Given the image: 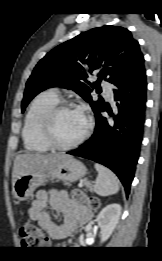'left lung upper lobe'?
<instances>
[{
	"instance_id": "1",
	"label": "left lung upper lobe",
	"mask_w": 162,
	"mask_h": 261,
	"mask_svg": "<svg viewBox=\"0 0 162 261\" xmlns=\"http://www.w3.org/2000/svg\"><path fill=\"white\" fill-rule=\"evenodd\" d=\"M143 60L138 42L126 28L105 25L83 32L39 61L26 83L22 112L38 93L58 86L77 92L96 113L104 100H92L89 74L98 76L93 85L97 89L101 80L115 84Z\"/></svg>"
}]
</instances>
